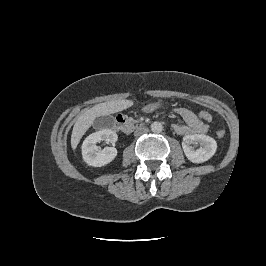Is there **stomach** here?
<instances>
[{
	"mask_svg": "<svg viewBox=\"0 0 266 266\" xmlns=\"http://www.w3.org/2000/svg\"><path fill=\"white\" fill-rule=\"evenodd\" d=\"M155 109V107L153 106V105H149V106H147L146 108H145V110L146 111H152V110H154Z\"/></svg>",
	"mask_w": 266,
	"mask_h": 266,
	"instance_id": "obj_1",
	"label": "stomach"
}]
</instances>
